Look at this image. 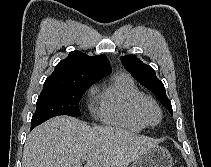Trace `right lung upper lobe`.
<instances>
[{
  "label": "right lung upper lobe",
  "mask_w": 211,
  "mask_h": 167,
  "mask_svg": "<svg viewBox=\"0 0 211 167\" xmlns=\"http://www.w3.org/2000/svg\"><path fill=\"white\" fill-rule=\"evenodd\" d=\"M110 72L111 66L105 55L90 57L73 51L56 65L43 86H66L86 80H99Z\"/></svg>",
  "instance_id": "right-lung-upper-lobe-1"
}]
</instances>
